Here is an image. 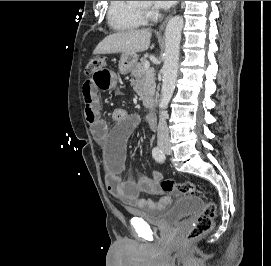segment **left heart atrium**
Masks as SVG:
<instances>
[{"instance_id":"obj_1","label":"left heart atrium","mask_w":271,"mask_h":266,"mask_svg":"<svg viewBox=\"0 0 271 266\" xmlns=\"http://www.w3.org/2000/svg\"><path fill=\"white\" fill-rule=\"evenodd\" d=\"M153 3L156 7L165 9L171 7L176 1H153Z\"/></svg>"}]
</instances>
